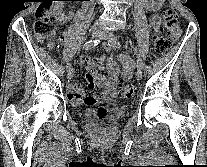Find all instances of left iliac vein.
<instances>
[{"instance_id": "left-iliac-vein-1", "label": "left iliac vein", "mask_w": 207, "mask_h": 167, "mask_svg": "<svg viewBox=\"0 0 207 167\" xmlns=\"http://www.w3.org/2000/svg\"><path fill=\"white\" fill-rule=\"evenodd\" d=\"M102 39L104 40H107L110 44V46H112V40H113V33L109 30H104L102 32V36H101ZM113 47V46H112ZM114 48V47H113ZM136 78L138 80H140L142 78V69L141 68H138L137 71H136Z\"/></svg>"}]
</instances>
